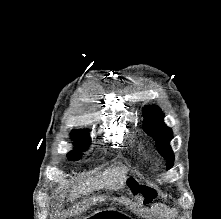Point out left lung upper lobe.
I'll return each mask as SVG.
<instances>
[{"label": "left lung upper lobe", "instance_id": "obj_1", "mask_svg": "<svg viewBox=\"0 0 221 219\" xmlns=\"http://www.w3.org/2000/svg\"><path fill=\"white\" fill-rule=\"evenodd\" d=\"M143 129L156 141L158 152L167 160V169L173 166L174 154L169 145L173 135L163 123L164 115L159 107L148 106L143 111Z\"/></svg>", "mask_w": 221, "mask_h": 219}]
</instances>
